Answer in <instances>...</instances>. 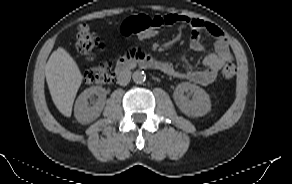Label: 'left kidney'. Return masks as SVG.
Masks as SVG:
<instances>
[{"instance_id":"left-kidney-1","label":"left kidney","mask_w":292,"mask_h":184,"mask_svg":"<svg viewBox=\"0 0 292 184\" xmlns=\"http://www.w3.org/2000/svg\"><path fill=\"white\" fill-rule=\"evenodd\" d=\"M185 92L193 95L191 100L188 96L184 95ZM173 99L178 108L187 116H204L211 110L209 95L199 86L189 82L180 83L176 87Z\"/></svg>"}]
</instances>
